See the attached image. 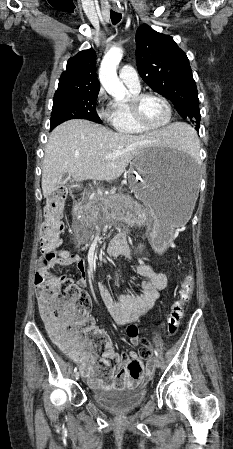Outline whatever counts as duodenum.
Returning <instances> with one entry per match:
<instances>
[{"mask_svg": "<svg viewBox=\"0 0 233 449\" xmlns=\"http://www.w3.org/2000/svg\"><path fill=\"white\" fill-rule=\"evenodd\" d=\"M71 194L74 197V204L76 212L79 213V208L83 204V202L86 200L87 197V190L85 186H72L71 187ZM109 253L111 255L120 253V252H127L129 250L128 244L126 241V238L123 234L116 235L109 243L108 246Z\"/></svg>", "mask_w": 233, "mask_h": 449, "instance_id": "obj_1", "label": "duodenum"}]
</instances>
